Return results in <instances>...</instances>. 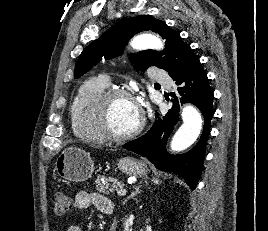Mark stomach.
<instances>
[{
  "label": "stomach",
  "mask_w": 268,
  "mask_h": 231,
  "mask_svg": "<svg viewBox=\"0 0 268 231\" xmlns=\"http://www.w3.org/2000/svg\"><path fill=\"white\" fill-rule=\"evenodd\" d=\"M118 169L128 176L144 177L147 175V165L141 160L123 157L117 163ZM55 170L64 180L84 182L91 178L94 172V162L85 150L70 146L65 148L55 162Z\"/></svg>",
  "instance_id": "0dacf381"
}]
</instances>
